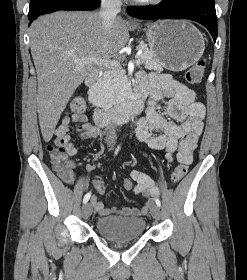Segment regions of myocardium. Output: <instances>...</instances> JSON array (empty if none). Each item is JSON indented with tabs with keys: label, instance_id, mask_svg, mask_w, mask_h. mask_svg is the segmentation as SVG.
<instances>
[{
	"label": "myocardium",
	"instance_id": "obj_1",
	"mask_svg": "<svg viewBox=\"0 0 247 280\" xmlns=\"http://www.w3.org/2000/svg\"><path fill=\"white\" fill-rule=\"evenodd\" d=\"M132 1L138 5L147 6V5L158 4V3L162 2L163 0H132Z\"/></svg>",
	"mask_w": 247,
	"mask_h": 280
}]
</instances>
